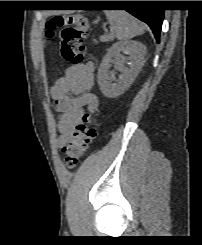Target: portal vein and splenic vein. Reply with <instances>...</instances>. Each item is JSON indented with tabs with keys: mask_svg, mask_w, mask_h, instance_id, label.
<instances>
[{
	"mask_svg": "<svg viewBox=\"0 0 202 245\" xmlns=\"http://www.w3.org/2000/svg\"><path fill=\"white\" fill-rule=\"evenodd\" d=\"M107 36L105 35V36H103L102 38H106Z\"/></svg>",
	"mask_w": 202,
	"mask_h": 245,
	"instance_id": "obj_1",
	"label": "portal vein and splenic vein"
}]
</instances>
